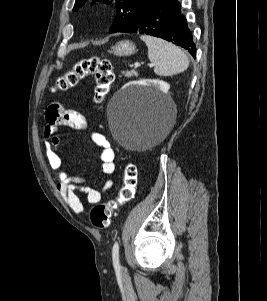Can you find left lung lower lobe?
I'll return each instance as SVG.
<instances>
[{
  "label": "left lung lower lobe",
  "instance_id": "0a47b994",
  "mask_svg": "<svg viewBox=\"0 0 267 301\" xmlns=\"http://www.w3.org/2000/svg\"><path fill=\"white\" fill-rule=\"evenodd\" d=\"M117 32L140 33L163 38L187 49L192 56L196 47L178 0H156L133 21Z\"/></svg>",
  "mask_w": 267,
  "mask_h": 301
}]
</instances>
